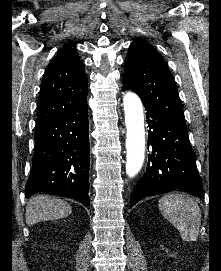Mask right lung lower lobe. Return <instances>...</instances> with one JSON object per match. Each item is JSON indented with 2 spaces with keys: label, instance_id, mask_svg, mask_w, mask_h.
<instances>
[{
  "label": "right lung lower lobe",
  "instance_id": "right-lung-lower-lobe-1",
  "mask_svg": "<svg viewBox=\"0 0 221 271\" xmlns=\"http://www.w3.org/2000/svg\"><path fill=\"white\" fill-rule=\"evenodd\" d=\"M87 106L36 123L35 150L25 196L46 192L90 204Z\"/></svg>",
  "mask_w": 221,
  "mask_h": 271
}]
</instances>
